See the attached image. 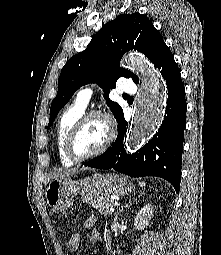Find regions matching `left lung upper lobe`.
I'll return each instance as SVG.
<instances>
[{
  "label": "left lung upper lobe",
  "mask_w": 221,
  "mask_h": 255,
  "mask_svg": "<svg viewBox=\"0 0 221 255\" xmlns=\"http://www.w3.org/2000/svg\"><path fill=\"white\" fill-rule=\"evenodd\" d=\"M165 46L160 32L143 14H122L104 25L87 48L70 58L62 68L58 93L50 108L48 128L75 91L89 83H97L103 88L106 103L118 120L123 111L109 99V88H114L121 76L132 77L135 83L139 82L135 74L120 67L123 54L134 49L145 54L155 64Z\"/></svg>",
  "instance_id": "obj_1"
}]
</instances>
